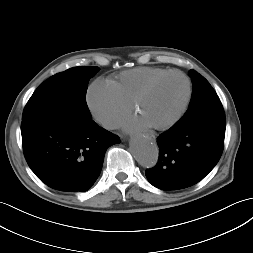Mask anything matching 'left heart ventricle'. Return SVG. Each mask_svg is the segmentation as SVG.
I'll list each match as a JSON object with an SVG mask.
<instances>
[{
  "instance_id": "1",
  "label": "left heart ventricle",
  "mask_w": 253,
  "mask_h": 253,
  "mask_svg": "<svg viewBox=\"0 0 253 253\" xmlns=\"http://www.w3.org/2000/svg\"><path fill=\"white\" fill-rule=\"evenodd\" d=\"M186 88V82L180 75L164 78L139 103L137 115L150 125L168 122L180 109L186 95Z\"/></svg>"
}]
</instances>
